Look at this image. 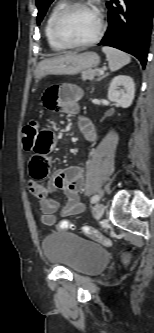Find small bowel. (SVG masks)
<instances>
[{
  "label": "small bowel",
  "instance_id": "1",
  "mask_svg": "<svg viewBox=\"0 0 154 333\" xmlns=\"http://www.w3.org/2000/svg\"><path fill=\"white\" fill-rule=\"evenodd\" d=\"M80 94V90L72 84L52 86L44 94V104L52 110L76 114L79 111ZM79 126L89 141L95 140V133L89 120L81 118ZM55 146L54 132L47 127L39 128L32 149L33 153L29 160L30 175L33 179L29 182V189L39 201L41 222L47 226L55 225L56 212L60 208L58 201L52 196L55 190H61L66 195V202L60 210L62 217L78 215L85 210V205L80 199L84 180L79 167L71 166L57 170L49 176V156L54 151ZM46 177H48L46 185L38 182Z\"/></svg>",
  "mask_w": 154,
  "mask_h": 333
}]
</instances>
